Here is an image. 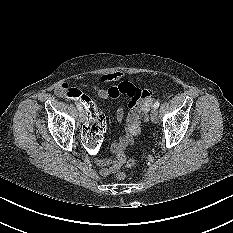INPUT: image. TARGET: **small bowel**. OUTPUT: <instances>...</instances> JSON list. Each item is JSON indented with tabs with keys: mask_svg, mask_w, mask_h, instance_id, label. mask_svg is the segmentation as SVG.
<instances>
[{
	"mask_svg": "<svg viewBox=\"0 0 233 233\" xmlns=\"http://www.w3.org/2000/svg\"><path fill=\"white\" fill-rule=\"evenodd\" d=\"M122 78L123 74L120 71H114L99 76L97 82L98 84L119 82L117 85L104 88L98 84H83L85 87H91L97 95L104 100L117 99L121 96H125L129 99L128 112L125 113V110L122 108H119L116 112L117 120L125 126L124 134L111 144V151L116 155L123 153V151L132 144L134 138L141 133L140 124L142 115L148 112L153 100L150 90L141 89L127 81H120ZM69 88H72L69 84L61 83L56 87L55 92L58 96L64 97V91ZM95 163L99 167L102 176L115 174L121 166L117 160L102 157L96 158Z\"/></svg>",
	"mask_w": 233,
	"mask_h": 233,
	"instance_id": "small-bowel-1",
	"label": "small bowel"
}]
</instances>
